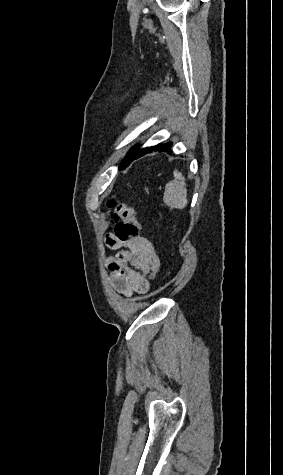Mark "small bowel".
<instances>
[{
    "label": "small bowel",
    "instance_id": "obj_1",
    "mask_svg": "<svg viewBox=\"0 0 283 475\" xmlns=\"http://www.w3.org/2000/svg\"><path fill=\"white\" fill-rule=\"evenodd\" d=\"M102 235L106 237L105 248H121L114 256L105 259L112 287L128 298L134 294H146L150 281L161 266L153 243L146 237H138L126 244L122 239H111L113 230L108 225L102 230Z\"/></svg>",
    "mask_w": 283,
    "mask_h": 475
}]
</instances>
